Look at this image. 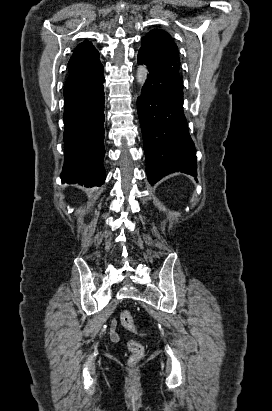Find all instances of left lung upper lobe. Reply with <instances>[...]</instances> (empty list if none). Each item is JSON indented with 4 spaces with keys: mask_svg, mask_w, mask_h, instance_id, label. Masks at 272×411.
Instances as JSON below:
<instances>
[{
    "mask_svg": "<svg viewBox=\"0 0 272 411\" xmlns=\"http://www.w3.org/2000/svg\"><path fill=\"white\" fill-rule=\"evenodd\" d=\"M141 43L142 46L139 52L145 54L169 73L180 78L178 47L169 33L160 29H153L142 38Z\"/></svg>",
    "mask_w": 272,
    "mask_h": 411,
    "instance_id": "1",
    "label": "left lung upper lobe"
}]
</instances>
